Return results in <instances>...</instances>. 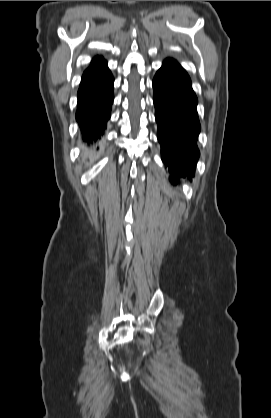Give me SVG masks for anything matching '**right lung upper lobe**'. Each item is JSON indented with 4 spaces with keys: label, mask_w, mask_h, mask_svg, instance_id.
I'll return each instance as SVG.
<instances>
[{
    "label": "right lung upper lobe",
    "mask_w": 271,
    "mask_h": 418,
    "mask_svg": "<svg viewBox=\"0 0 271 418\" xmlns=\"http://www.w3.org/2000/svg\"><path fill=\"white\" fill-rule=\"evenodd\" d=\"M101 61H103V58L97 56V57L94 58L93 62L91 63V66L98 63V62H101Z\"/></svg>",
    "instance_id": "cb5924a9"
}]
</instances>
